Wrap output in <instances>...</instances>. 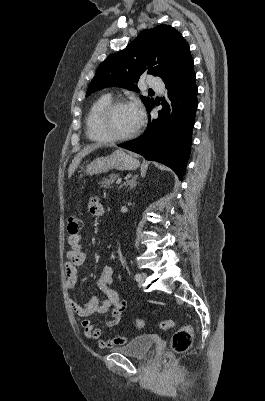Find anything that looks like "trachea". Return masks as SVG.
Returning <instances> with one entry per match:
<instances>
[{"label": "trachea", "mask_w": 265, "mask_h": 401, "mask_svg": "<svg viewBox=\"0 0 265 401\" xmlns=\"http://www.w3.org/2000/svg\"><path fill=\"white\" fill-rule=\"evenodd\" d=\"M149 93H154V91L153 90H149Z\"/></svg>", "instance_id": "obj_1"}]
</instances>
